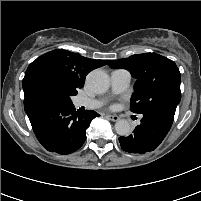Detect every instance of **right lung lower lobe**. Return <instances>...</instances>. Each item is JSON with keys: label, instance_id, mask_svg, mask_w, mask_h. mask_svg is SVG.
Listing matches in <instances>:
<instances>
[{"label": "right lung lower lobe", "instance_id": "right-lung-lower-lobe-1", "mask_svg": "<svg viewBox=\"0 0 201 201\" xmlns=\"http://www.w3.org/2000/svg\"><path fill=\"white\" fill-rule=\"evenodd\" d=\"M33 131L42 146L51 152L70 154L78 150L86 139V129L98 113L87 110L78 113L72 103L34 95L24 100Z\"/></svg>", "mask_w": 201, "mask_h": 201}]
</instances>
